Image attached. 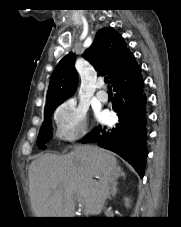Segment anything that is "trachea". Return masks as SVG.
<instances>
[{
	"mask_svg": "<svg viewBox=\"0 0 181 227\" xmlns=\"http://www.w3.org/2000/svg\"><path fill=\"white\" fill-rule=\"evenodd\" d=\"M104 82H105V83H108V82H109V78H108V77H105V78H104Z\"/></svg>",
	"mask_w": 181,
	"mask_h": 227,
	"instance_id": "trachea-1",
	"label": "trachea"
}]
</instances>
